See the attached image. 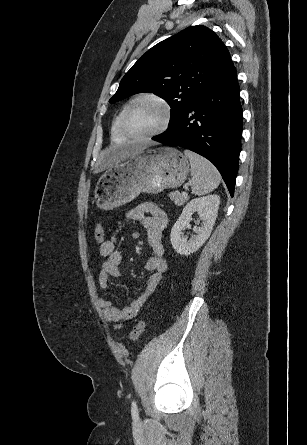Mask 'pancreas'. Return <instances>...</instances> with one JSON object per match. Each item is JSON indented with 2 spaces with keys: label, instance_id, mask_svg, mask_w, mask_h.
I'll use <instances>...</instances> for the list:
<instances>
[{
  "label": "pancreas",
  "instance_id": "cf45deb5",
  "mask_svg": "<svg viewBox=\"0 0 307 445\" xmlns=\"http://www.w3.org/2000/svg\"><path fill=\"white\" fill-rule=\"evenodd\" d=\"M170 200H173L174 204H177V206H181V204H185L187 200H189V196L187 194H181V192H170L169 194Z\"/></svg>",
  "mask_w": 307,
  "mask_h": 445
}]
</instances>
